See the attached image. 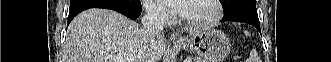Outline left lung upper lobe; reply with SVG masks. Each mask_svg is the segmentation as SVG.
Masks as SVG:
<instances>
[{"instance_id": "1", "label": "left lung upper lobe", "mask_w": 331, "mask_h": 62, "mask_svg": "<svg viewBox=\"0 0 331 62\" xmlns=\"http://www.w3.org/2000/svg\"><path fill=\"white\" fill-rule=\"evenodd\" d=\"M221 4L225 8L224 16L238 12L257 15L255 0H222Z\"/></svg>"}]
</instances>
